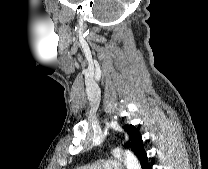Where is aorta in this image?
Masks as SVG:
<instances>
[{"mask_svg": "<svg viewBox=\"0 0 208 169\" xmlns=\"http://www.w3.org/2000/svg\"><path fill=\"white\" fill-rule=\"evenodd\" d=\"M112 154L116 158L124 161V163L127 166V169H141L138 159L134 156L132 152L124 151L117 148L112 151Z\"/></svg>", "mask_w": 208, "mask_h": 169, "instance_id": "762f6f07", "label": "aorta"}]
</instances>
